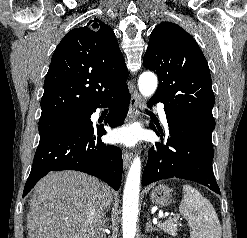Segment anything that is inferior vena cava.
<instances>
[{
    "instance_id": "inferior-vena-cava-1",
    "label": "inferior vena cava",
    "mask_w": 247,
    "mask_h": 238,
    "mask_svg": "<svg viewBox=\"0 0 247 238\" xmlns=\"http://www.w3.org/2000/svg\"><path fill=\"white\" fill-rule=\"evenodd\" d=\"M105 208V196L102 190V185H100V189L88 205L87 224L89 227L90 238H106Z\"/></svg>"
}]
</instances>
